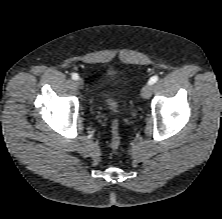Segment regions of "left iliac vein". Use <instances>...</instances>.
I'll use <instances>...</instances> for the list:
<instances>
[{
	"instance_id": "left-iliac-vein-1",
	"label": "left iliac vein",
	"mask_w": 222,
	"mask_h": 219,
	"mask_svg": "<svg viewBox=\"0 0 222 219\" xmlns=\"http://www.w3.org/2000/svg\"><path fill=\"white\" fill-rule=\"evenodd\" d=\"M152 85L151 84H146L142 90H141V96L144 98V99H148L150 98L151 94H152Z\"/></svg>"
}]
</instances>
